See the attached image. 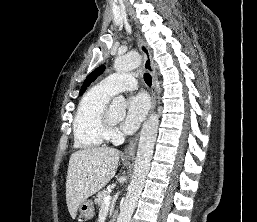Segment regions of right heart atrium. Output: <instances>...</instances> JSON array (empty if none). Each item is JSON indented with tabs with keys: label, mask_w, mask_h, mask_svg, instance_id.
<instances>
[{
	"label": "right heart atrium",
	"mask_w": 257,
	"mask_h": 222,
	"mask_svg": "<svg viewBox=\"0 0 257 222\" xmlns=\"http://www.w3.org/2000/svg\"><path fill=\"white\" fill-rule=\"evenodd\" d=\"M112 134L115 135L116 134V130L112 129Z\"/></svg>",
	"instance_id": "obj_1"
}]
</instances>
